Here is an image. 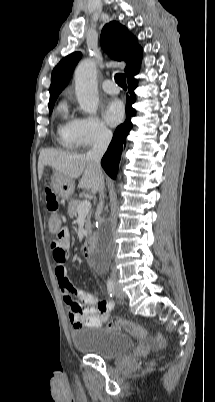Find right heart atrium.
Instances as JSON below:
<instances>
[{"label":"right heart atrium","instance_id":"1","mask_svg":"<svg viewBox=\"0 0 215 402\" xmlns=\"http://www.w3.org/2000/svg\"><path fill=\"white\" fill-rule=\"evenodd\" d=\"M73 135L76 145L82 148L107 142L111 132L96 116H85L74 120Z\"/></svg>","mask_w":215,"mask_h":402}]
</instances>
